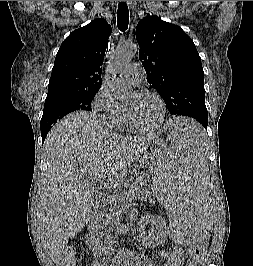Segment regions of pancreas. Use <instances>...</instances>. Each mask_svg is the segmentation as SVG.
I'll return each instance as SVG.
<instances>
[{"label":"pancreas","instance_id":"obj_1","mask_svg":"<svg viewBox=\"0 0 253 266\" xmlns=\"http://www.w3.org/2000/svg\"><path fill=\"white\" fill-rule=\"evenodd\" d=\"M148 181V175L140 173L136 182L130 186L128 191L116 189L115 192L109 195V198L106 199L109 206L102 208L99 214L105 227L112 228L119 222L122 210L130 205L133 196L139 197L141 201L151 200V192L147 188Z\"/></svg>","mask_w":253,"mask_h":266}]
</instances>
